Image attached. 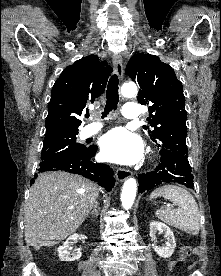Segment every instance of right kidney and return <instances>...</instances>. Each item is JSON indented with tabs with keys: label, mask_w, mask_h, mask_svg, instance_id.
Here are the masks:
<instances>
[{
	"label": "right kidney",
	"mask_w": 221,
	"mask_h": 276,
	"mask_svg": "<svg viewBox=\"0 0 221 276\" xmlns=\"http://www.w3.org/2000/svg\"><path fill=\"white\" fill-rule=\"evenodd\" d=\"M80 238L78 234H74L70 236L62 246L58 247V256L61 261H75L81 258V252L73 251L71 245L76 243L77 240Z\"/></svg>",
	"instance_id": "obj_1"
}]
</instances>
